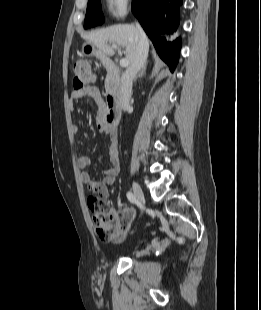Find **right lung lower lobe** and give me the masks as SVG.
I'll list each match as a JSON object with an SVG mask.
<instances>
[{"label": "right lung lower lobe", "instance_id": "right-lung-lower-lobe-1", "mask_svg": "<svg viewBox=\"0 0 261 310\" xmlns=\"http://www.w3.org/2000/svg\"><path fill=\"white\" fill-rule=\"evenodd\" d=\"M181 4L182 0H133L132 3L134 15L171 71L178 62L181 40L170 41L169 37L177 30Z\"/></svg>", "mask_w": 261, "mask_h": 310}]
</instances>
